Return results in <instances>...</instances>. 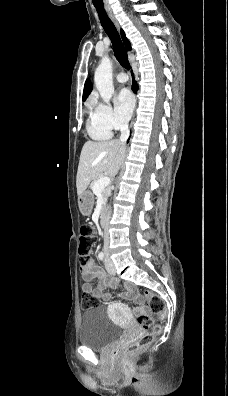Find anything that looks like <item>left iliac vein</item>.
<instances>
[{
    "label": "left iliac vein",
    "mask_w": 228,
    "mask_h": 396,
    "mask_svg": "<svg viewBox=\"0 0 228 396\" xmlns=\"http://www.w3.org/2000/svg\"><path fill=\"white\" fill-rule=\"evenodd\" d=\"M105 265H106L107 272L110 275H115V273H116L115 266H114L113 262L108 257H106Z\"/></svg>",
    "instance_id": "left-iliac-vein-1"
}]
</instances>
